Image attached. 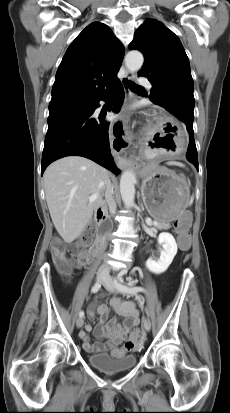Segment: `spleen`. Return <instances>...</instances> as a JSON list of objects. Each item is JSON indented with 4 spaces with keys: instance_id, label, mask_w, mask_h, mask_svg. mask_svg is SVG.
Instances as JSON below:
<instances>
[{
    "instance_id": "obj_1",
    "label": "spleen",
    "mask_w": 230,
    "mask_h": 413,
    "mask_svg": "<svg viewBox=\"0 0 230 413\" xmlns=\"http://www.w3.org/2000/svg\"><path fill=\"white\" fill-rule=\"evenodd\" d=\"M168 165H175V166H180V167H184V164L180 163V162H168Z\"/></svg>"
}]
</instances>
